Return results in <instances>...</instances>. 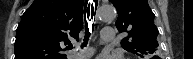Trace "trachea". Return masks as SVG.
Listing matches in <instances>:
<instances>
[{"label": "trachea", "mask_w": 193, "mask_h": 59, "mask_svg": "<svg viewBox=\"0 0 193 59\" xmlns=\"http://www.w3.org/2000/svg\"><path fill=\"white\" fill-rule=\"evenodd\" d=\"M96 9H97L96 3H95V7L93 6V4H90V3L88 4V7H87V2H86L85 10H84V12H85V37H84V42L81 45L82 48L87 45V42H88L89 37H90L88 22L86 21V14H87L88 21H91V19L95 15L94 10H96ZM92 27H94V25H92ZM69 49H72V46H69Z\"/></svg>", "instance_id": "obj_1"}]
</instances>
